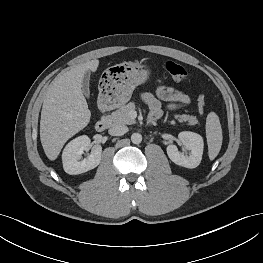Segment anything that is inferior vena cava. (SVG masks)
Segmentation results:
<instances>
[{
    "label": "inferior vena cava",
    "instance_id": "inferior-vena-cava-1",
    "mask_svg": "<svg viewBox=\"0 0 263 263\" xmlns=\"http://www.w3.org/2000/svg\"><path fill=\"white\" fill-rule=\"evenodd\" d=\"M128 132V127L125 125H114L109 129V134L113 136H121Z\"/></svg>",
    "mask_w": 263,
    "mask_h": 263
}]
</instances>
